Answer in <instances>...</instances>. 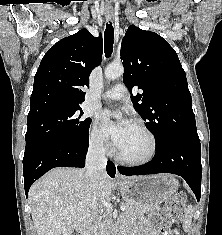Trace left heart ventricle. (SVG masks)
Here are the masks:
<instances>
[{"label": "left heart ventricle", "mask_w": 222, "mask_h": 235, "mask_svg": "<svg viewBox=\"0 0 222 235\" xmlns=\"http://www.w3.org/2000/svg\"><path fill=\"white\" fill-rule=\"evenodd\" d=\"M151 150L152 142L149 136L133 124L129 128L123 143L118 147L122 156L134 160L147 157Z\"/></svg>", "instance_id": "left-heart-ventricle-1"}]
</instances>
